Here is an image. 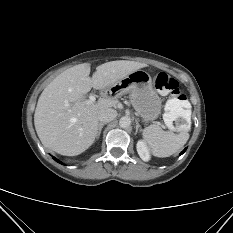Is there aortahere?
Returning <instances> with one entry per match:
<instances>
[{"mask_svg": "<svg viewBox=\"0 0 233 233\" xmlns=\"http://www.w3.org/2000/svg\"><path fill=\"white\" fill-rule=\"evenodd\" d=\"M131 125V119L128 116H123L119 120V126L121 128H128Z\"/></svg>", "mask_w": 233, "mask_h": 233, "instance_id": "1", "label": "aorta"}]
</instances>
